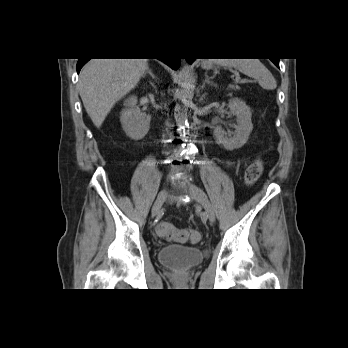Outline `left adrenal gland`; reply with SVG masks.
Masks as SVG:
<instances>
[{"label": "left adrenal gland", "instance_id": "obj_1", "mask_svg": "<svg viewBox=\"0 0 348 348\" xmlns=\"http://www.w3.org/2000/svg\"><path fill=\"white\" fill-rule=\"evenodd\" d=\"M205 84L214 85L213 81H211L210 77L206 74H205V80L203 81V84L201 86L202 89L205 87Z\"/></svg>", "mask_w": 348, "mask_h": 348}]
</instances>
